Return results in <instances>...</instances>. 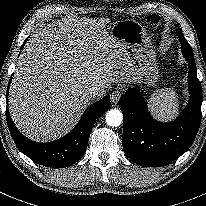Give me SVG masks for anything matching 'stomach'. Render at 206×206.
Masks as SVG:
<instances>
[{"mask_svg":"<svg viewBox=\"0 0 206 206\" xmlns=\"http://www.w3.org/2000/svg\"><path fill=\"white\" fill-rule=\"evenodd\" d=\"M110 34L131 51L138 72L136 81L155 85L159 77L156 52L145 28L133 19L120 20L110 27Z\"/></svg>","mask_w":206,"mask_h":206,"instance_id":"1","label":"stomach"}]
</instances>
